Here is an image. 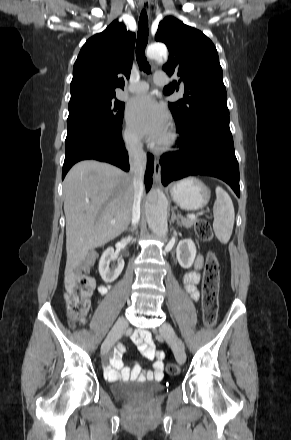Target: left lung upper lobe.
Returning a JSON list of instances; mask_svg holds the SVG:
<instances>
[{
    "instance_id": "left-lung-upper-lobe-1",
    "label": "left lung upper lobe",
    "mask_w": 291,
    "mask_h": 440,
    "mask_svg": "<svg viewBox=\"0 0 291 440\" xmlns=\"http://www.w3.org/2000/svg\"><path fill=\"white\" fill-rule=\"evenodd\" d=\"M155 39L165 43L170 53L164 71L180 77L178 83L164 87V93L184 89L182 99L169 103L177 130L183 131L204 117L229 116L223 72L212 41L174 17L159 23Z\"/></svg>"
}]
</instances>
